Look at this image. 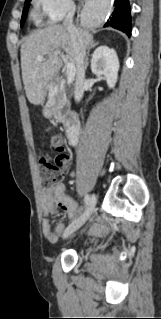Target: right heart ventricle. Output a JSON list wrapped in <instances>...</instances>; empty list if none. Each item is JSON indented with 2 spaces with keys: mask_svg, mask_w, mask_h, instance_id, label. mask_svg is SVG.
<instances>
[{
  "mask_svg": "<svg viewBox=\"0 0 161 319\" xmlns=\"http://www.w3.org/2000/svg\"><path fill=\"white\" fill-rule=\"evenodd\" d=\"M34 16H38V13L37 12H34V14H33Z\"/></svg>",
  "mask_w": 161,
  "mask_h": 319,
  "instance_id": "e07e8e85",
  "label": "right heart ventricle"
}]
</instances>
